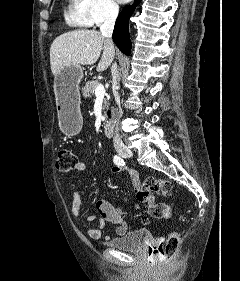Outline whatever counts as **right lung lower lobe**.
I'll return each instance as SVG.
<instances>
[{"label": "right lung lower lobe", "mask_w": 240, "mask_h": 281, "mask_svg": "<svg viewBox=\"0 0 240 281\" xmlns=\"http://www.w3.org/2000/svg\"><path fill=\"white\" fill-rule=\"evenodd\" d=\"M139 0H135L132 5H127L123 8L119 14L114 31H113V41L117 47L125 54H129L131 51V42L129 40V18L134 12Z\"/></svg>", "instance_id": "right-lung-lower-lobe-1"}]
</instances>
